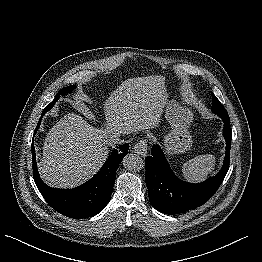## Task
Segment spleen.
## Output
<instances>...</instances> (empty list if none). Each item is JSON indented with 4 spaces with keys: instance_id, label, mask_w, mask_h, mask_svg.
<instances>
[{
    "instance_id": "spleen-1",
    "label": "spleen",
    "mask_w": 262,
    "mask_h": 262,
    "mask_svg": "<svg viewBox=\"0 0 262 262\" xmlns=\"http://www.w3.org/2000/svg\"><path fill=\"white\" fill-rule=\"evenodd\" d=\"M215 166V157L212 154L199 155L183 164V177L189 181L203 180Z\"/></svg>"
}]
</instances>
